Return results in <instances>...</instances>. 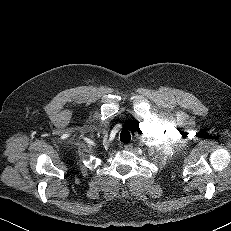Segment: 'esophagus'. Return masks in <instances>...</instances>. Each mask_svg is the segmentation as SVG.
Returning <instances> with one entry per match:
<instances>
[{
	"label": "esophagus",
	"mask_w": 231,
	"mask_h": 231,
	"mask_svg": "<svg viewBox=\"0 0 231 231\" xmlns=\"http://www.w3.org/2000/svg\"><path fill=\"white\" fill-rule=\"evenodd\" d=\"M132 148H133V145H132V144H125V145H124V149L127 150V151L132 150Z\"/></svg>",
	"instance_id": "obj_1"
}]
</instances>
